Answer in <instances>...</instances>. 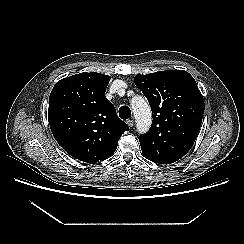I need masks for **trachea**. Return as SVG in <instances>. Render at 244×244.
<instances>
[{"mask_svg":"<svg viewBox=\"0 0 244 244\" xmlns=\"http://www.w3.org/2000/svg\"><path fill=\"white\" fill-rule=\"evenodd\" d=\"M131 116V110L128 106H121L119 109V117L121 119H128Z\"/></svg>","mask_w":244,"mask_h":244,"instance_id":"obj_1","label":"trachea"}]
</instances>
